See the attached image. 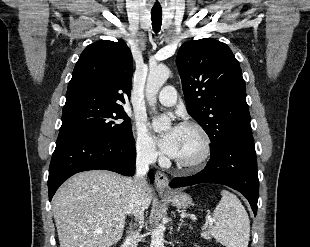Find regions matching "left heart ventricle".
I'll return each instance as SVG.
<instances>
[{"label":"left heart ventricle","instance_id":"b2bd125f","mask_svg":"<svg viewBox=\"0 0 310 247\" xmlns=\"http://www.w3.org/2000/svg\"><path fill=\"white\" fill-rule=\"evenodd\" d=\"M203 149V142L200 134L191 128L179 129L177 152L174 158L189 161L197 158Z\"/></svg>","mask_w":310,"mask_h":247}]
</instances>
